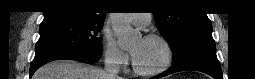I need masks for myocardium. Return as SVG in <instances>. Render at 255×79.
Wrapping results in <instances>:
<instances>
[{
  "instance_id": "obj_1",
  "label": "myocardium",
  "mask_w": 255,
  "mask_h": 79,
  "mask_svg": "<svg viewBox=\"0 0 255 79\" xmlns=\"http://www.w3.org/2000/svg\"><path fill=\"white\" fill-rule=\"evenodd\" d=\"M143 39L160 42L164 47V60L159 67L151 70H144L139 68L134 59H132V67L134 72L142 76H152L164 72L170 66L173 58V52L170 43L163 36L157 34H148Z\"/></svg>"
}]
</instances>
